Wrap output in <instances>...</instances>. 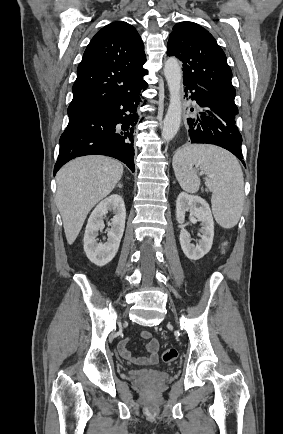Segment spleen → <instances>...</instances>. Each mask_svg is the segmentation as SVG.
<instances>
[{
	"label": "spleen",
	"mask_w": 283,
	"mask_h": 434,
	"mask_svg": "<svg viewBox=\"0 0 283 434\" xmlns=\"http://www.w3.org/2000/svg\"><path fill=\"white\" fill-rule=\"evenodd\" d=\"M194 166L206 175L215 220L223 228H233L244 203V178L238 160L213 145H188L179 149L173 157V169L181 188L189 193L197 192L200 185Z\"/></svg>",
	"instance_id": "3e777b00"
}]
</instances>
